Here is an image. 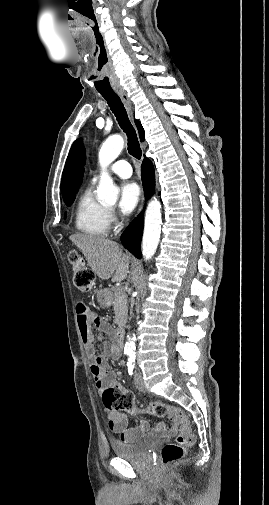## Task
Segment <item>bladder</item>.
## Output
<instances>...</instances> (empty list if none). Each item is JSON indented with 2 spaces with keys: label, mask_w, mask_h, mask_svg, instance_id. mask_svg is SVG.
<instances>
[{
  "label": "bladder",
  "mask_w": 269,
  "mask_h": 505,
  "mask_svg": "<svg viewBox=\"0 0 269 505\" xmlns=\"http://www.w3.org/2000/svg\"><path fill=\"white\" fill-rule=\"evenodd\" d=\"M158 440L152 435H145L134 442H112V450L118 458L141 459Z\"/></svg>",
  "instance_id": "1"
}]
</instances>
